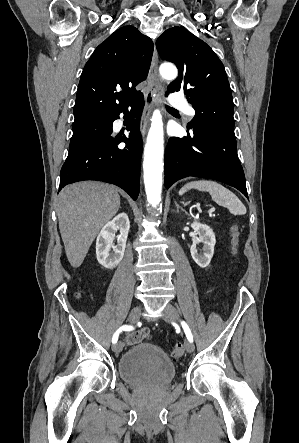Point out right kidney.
<instances>
[{"mask_svg":"<svg viewBox=\"0 0 299 443\" xmlns=\"http://www.w3.org/2000/svg\"><path fill=\"white\" fill-rule=\"evenodd\" d=\"M130 222L127 214L120 213L113 220L105 224L96 240V256L98 262L107 269L115 268L122 260L126 248V242ZM120 230L117 245L113 246L115 231ZM111 248L113 253L110 252Z\"/></svg>","mask_w":299,"mask_h":443,"instance_id":"right-kidney-1","label":"right kidney"}]
</instances>
